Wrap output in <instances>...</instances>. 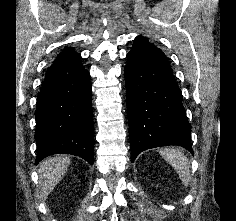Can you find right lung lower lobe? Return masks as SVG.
Wrapping results in <instances>:
<instances>
[{
  "label": "right lung lower lobe",
  "instance_id": "right-lung-lower-lobe-1",
  "mask_svg": "<svg viewBox=\"0 0 236 221\" xmlns=\"http://www.w3.org/2000/svg\"><path fill=\"white\" fill-rule=\"evenodd\" d=\"M89 73L78 54L48 67L35 111L38 164L43 158L73 154L94 163V126Z\"/></svg>",
  "mask_w": 236,
  "mask_h": 221
}]
</instances>
